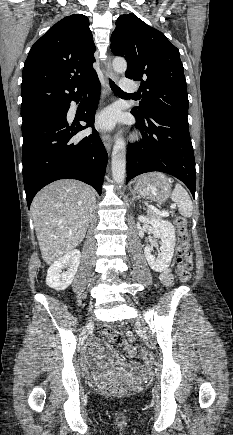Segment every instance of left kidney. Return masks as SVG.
I'll return each mask as SVG.
<instances>
[{
    "label": "left kidney",
    "mask_w": 233,
    "mask_h": 435,
    "mask_svg": "<svg viewBox=\"0 0 233 435\" xmlns=\"http://www.w3.org/2000/svg\"><path fill=\"white\" fill-rule=\"evenodd\" d=\"M138 220L142 223L151 224L154 237L161 240V252L158 257L152 254V247L155 245V242L151 243V246L147 245L144 249V254L149 266L156 272L166 270L171 263L174 253L176 241L174 226L168 221L148 218L144 215L138 216Z\"/></svg>",
    "instance_id": "left-kidney-1"
}]
</instances>
